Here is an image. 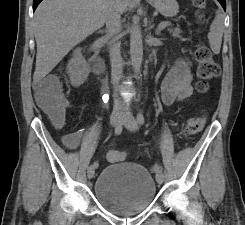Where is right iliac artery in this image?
I'll use <instances>...</instances> for the list:
<instances>
[{
    "mask_svg": "<svg viewBox=\"0 0 245 225\" xmlns=\"http://www.w3.org/2000/svg\"><path fill=\"white\" fill-rule=\"evenodd\" d=\"M103 101H104V99H103ZM106 101H108V99H106ZM122 129H123L122 124L119 123V124L115 127V130H114L115 135H119V134L122 132ZM93 167H94V168H97V167H98V162H97V161H95V162L93 163Z\"/></svg>",
    "mask_w": 245,
    "mask_h": 225,
    "instance_id": "right-iliac-artery-1",
    "label": "right iliac artery"
}]
</instances>
